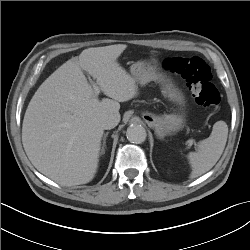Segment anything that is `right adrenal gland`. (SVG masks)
Wrapping results in <instances>:
<instances>
[{
	"mask_svg": "<svg viewBox=\"0 0 250 250\" xmlns=\"http://www.w3.org/2000/svg\"><path fill=\"white\" fill-rule=\"evenodd\" d=\"M108 136V133H106L103 137V145H102V148H101V152L100 154H104L105 153V147H106V137Z\"/></svg>",
	"mask_w": 250,
	"mask_h": 250,
	"instance_id": "2a0ac1e0",
	"label": "right adrenal gland"
}]
</instances>
